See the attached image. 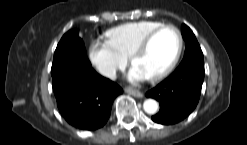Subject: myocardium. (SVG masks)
Here are the masks:
<instances>
[{
	"label": "myocardium",
	"instance_id": "f54148a6",
	"mask_svg": "<svg viewBox=\"0 0 247 145\" xmlns=\"http://www.w3.org/2000/svg\"><path fill=\"white\" fill-rule=\"evenodd\" d=\"M165 29H172L176 35H177V39H178V45H177V50L176 53L173 57V59L171 60V62L161 71H159L158 73L154 74L153 76L149 77V80L151 81H157L160 80L162 78H164L165 76H167L169 73L172 72V70L175 68V66L177 65L181 54H182V50H183V36L181 31L174 25L172 24H162L161 26L153 29L152 31H150L136 46L135 48L131 51L130 55H129V62L133 65L134 61L136 59V57L143 53L144 51L147 50V48L149 47L151 41L153 40V38L162 30Z\"/></svg>",
	"mask_w": 247,
	"mask_h": 145
}]
</instances>
